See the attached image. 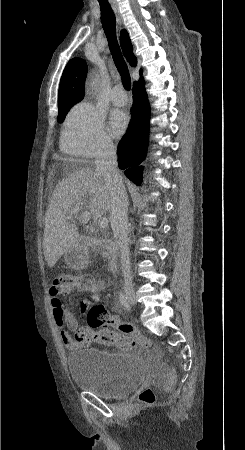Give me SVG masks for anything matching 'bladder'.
I'll list each match as a JSON object with an SVG mask.
<instances>
[{
	"label": "bladder",
	"instance_id": "obj_1",
	"mask_svg": "<svg viewBox=\"0 0 245 450\" xmlns=\"http://www.w3.org/2000/svg\"><path fill=\"white\" fill-rule=\"evenodd\" d=\"M73 383L102 399H117L145 382V366L135 354L101 349L72 352L65 358Z\"/></svg>",
	"mask_w": 245,
	"mask_h": 450
}]
</instances>
